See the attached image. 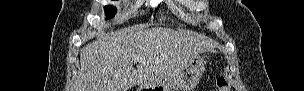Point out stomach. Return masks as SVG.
<instances>
[{
  "label": "stomach",
  "instance_id": "1",
  "mask_svg": "<svg viewBox=\"0 0 304 91\" xmlns=\"http://www.w3.org/2000/svg\"><path fill=\"white\" fill-rule=\"evenodd\" d=\"M206 59L204 56L195 55L169 83L160 84L154 87H140L138 91L159 90V91H192L199 83V80L205 71Z\"/></svg>",
  "mask_w": 304,
  "mask_h": 91
}]
</instances>
